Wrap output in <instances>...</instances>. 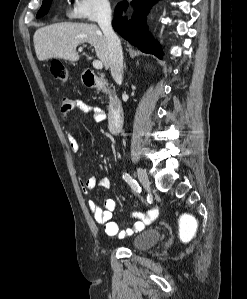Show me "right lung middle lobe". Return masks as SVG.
<instances>
[{
    "instance_id": "1",
    "label": "right lung middle lobe",
    "mask_w": 247,
    "mask_h": 299,
    "mask_svg": "<svg viewBox=\"0 0 247 299\" xmlns=\"http://www.w3.org/2000/svg\"><path fill=\"white\" fill-rule=\"evenodd\" d=\"M51 2H52V0H43L42 6L37 14V18L42 17L45 14H47V12L50 8Z\"/></svg>"
}]
</instances>
